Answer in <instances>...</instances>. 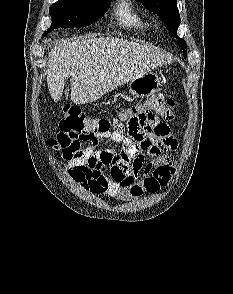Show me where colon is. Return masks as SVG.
Segmentation results:
<instances>
[{
	"label": "colon",
	"mask_w": 233,
	"mask_h": 294,
	"mask_svg": "<svg viewBox=\"0 0 233 294\" xmlns=\"http://www.w3.org/2000/svg\"><path fill=\"white\" fill-rule=\"evenodd\" d=\"M130 108L161 110V117L171 120L175 115V100L171 96L159 95L143 105ZM126 109L122 108L112 118H93L77 106H65L59 119V133L52 139L53 149L60 152L63 159L68 161L78 156L88 155L91 151L82 150L81 142L96 145L99 140L108 139L113 133H123L126 128L120 125V120H128L124 118V115L133 114L127 113Z\"/></svg>",
	"instance_id": "colon-1"
}]
</instances>
